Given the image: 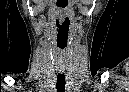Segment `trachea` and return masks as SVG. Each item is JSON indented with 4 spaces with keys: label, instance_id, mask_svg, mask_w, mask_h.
Segmentation results:
<instances>
[{
    "label": "trachea",
    "instance_id": "trachea-1",
    "mask_svg": "<svg viewBox=\"0 0 129 92\" xmlns=\"http://www.w3.org/2000/svg\"><path fill=\"white\" fill-rule=\"evenodd\" d=\"M65 84L66 82L64 73H58L56 83L57 92H65Z\"/></svg>",
    "mask_w": 129,
    "mask_h": 92
}]
</instances>
